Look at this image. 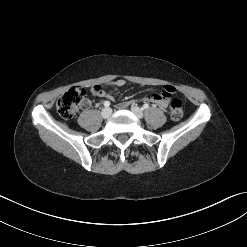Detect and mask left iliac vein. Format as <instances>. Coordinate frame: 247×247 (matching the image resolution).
I'll list each match as a JSON object with an SVG mask.
<instances>
[{
  "instance_id": "left-iliac-vein-1",
  "label": "left iliac vein",
  "mask_w": 247,
  "mask_h": 247,
  "mask_svg": "<svg viewBox=\"0 0 247 247\" xmlns=\"http://www.w3.org/2000/svg\"><path fill=\"white\" fill-rule=\"evenodd\" d=\"M131 111L135 114V116H137L138 118H142L143 117V111L142 109H140L137 106H132L131 107Z\"/></svg>"
}]
</instances>
